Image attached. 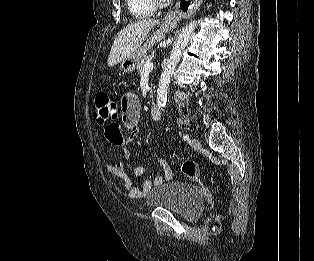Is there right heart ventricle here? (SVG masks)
<instances>
[{"mask_svg":"<svg viewBox=\"0 0 314 261\" xmlns=\"http://www.w3.org/2000/svg\"><path fill=\"white\" fill-rule=\"evenodd\" d=\"M131 15L135 18H147L154 15L156 6L152 0H126Z\"/></svg>","mask_w":314,"mask_h":261,"instance_id":"1","label":"right heart ventricle"}]
</instances>
